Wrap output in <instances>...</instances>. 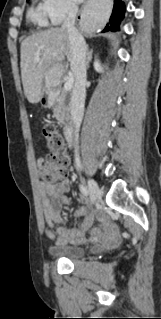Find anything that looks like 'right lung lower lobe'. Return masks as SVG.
Masks as SVG:
<instances>
[{
    "label": "right lung lower lobe",
    "mask_w": 161,
    "mask_h": 319,
    "mask_svg": "<svg viewBox=\"0 0 161 319\" xmlns=\"http://www.w3.org/2000/svg\"><path fill=\"white\" fill-rule=\"evenodd\" d=\"M125 13V5L121 0H114V8L110 17L109 23L106 25L104 31L118 30L120 21L123 19Z\"/></svg>",
    "instance_id": "obj_1"
}]
</instances>
